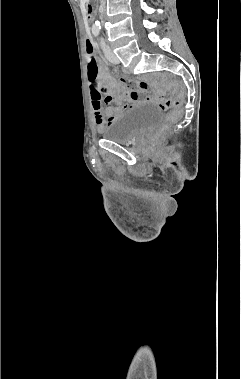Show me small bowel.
Wrapping results in <instances>:
<instances>
[{"instance_id":"1","label":"small bowel","mask_w":241,"mask_h":379,"mask_svg":"<svg viewBox=\"0 0 241 379\" xmlns=\"http://www.w3.org/2000/svg\"><path fill=\"white\" fill-rule=\"evenodd\" d=\"M91 41V40H90ZM92 42V41H91ZM99 85H102L108 92H102L103 89H91V105L94 114V121L98 130L103 129L110 124L122 111L136 102H156L158 96L151 94L141 98V93L147 89L145 81H126V86L121 82L114 80L104 67H100L97 75ZM104 105H106L104 107Z\"/></svg>"}]
</instances>
